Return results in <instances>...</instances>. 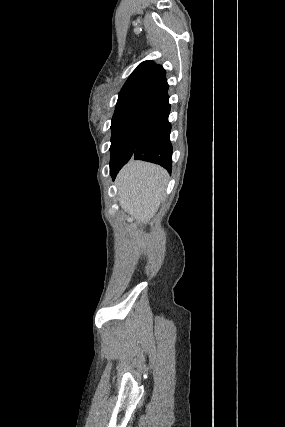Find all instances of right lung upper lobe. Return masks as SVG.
<instances>
[{"label":"right lung upper lobe","mask_w":285,"mask_h":427,"mask_svg":"<svg viewBox=\"0 0 285 427\" xmlns=\"http://www.w3.org/2000/svg\"><path fill=\"white\" fill-rule=\"evenodd\" d=\"M165 70L153 61L142 62L123 85L112 121L146 114L169 97Z\"/></svg>","instance_id":"obj_1"}]
</instances>
